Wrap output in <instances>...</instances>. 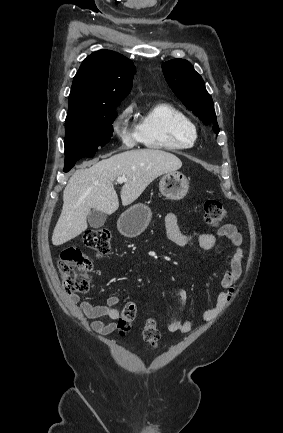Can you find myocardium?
<instances>
[{
	"label": "myocardium",
	"instance_id": "obj_1",
	"mask_svg": "<svg viewBox=\"0 0 283 433\" xmlns=\"http://www.w3.org/2000/svg\"><path fill=\"white\" fill-rule=\"evenodd\" d=\"M199 133L194 125L184 126L180 131V138L186 142L193 144L198 139Z\"/></svg>",
	"mask_w": 283,
	"mask_h": 433
}]
</instances>
